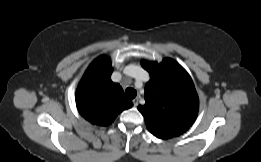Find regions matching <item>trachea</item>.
I'll return each mask as SVG.
<instances>
[{
    "mask_svg": "<svg viewBox=\"0 0 261 162\" xmlns=\"http://www.w3.org/2000/svg\"><path fill=\"white\" fill-rule=\"evenodd\" d=\"M136 95H137V91H136L135 89H133V88H127V89L125 90V96H126V98H128L129 100L134 99V98L136 97Z\"/></svg>",
    "mask_w": 261,
    "mask_h": 162,
    "instance_id": "1",
    "label": "trachea"
}]
</instances>
